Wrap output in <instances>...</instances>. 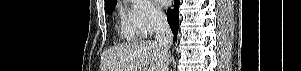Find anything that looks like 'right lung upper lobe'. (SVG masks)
Masks as SVG:
<instances>
[{
    "mask_svg": "<svg viewBox=\"0 0 301 71\" xmlns=\"http://www.w3.org/2000/svg\"><path fill=\"white\" fill-rule=\"evenodd\" d=\"M112 1H114V0H105V4L112 2Z\"/></svg>",
    "mask_w": 301,
    "mask_h": 71,
    "instance_id": "cb5924a9",
    "label": "right lung upper lobe"
}]
</instances>
